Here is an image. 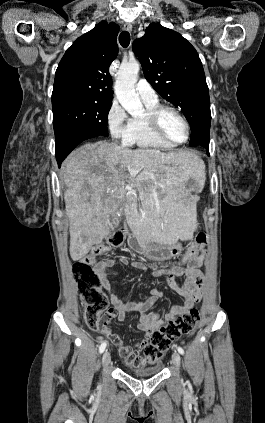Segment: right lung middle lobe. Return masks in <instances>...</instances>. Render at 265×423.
<instances>
[{
	"instance_id": "1",
	"label": "right lung middle lobe",
	"mask_w": 265,
	"mask_h": 423,
	"mask_svg": "<svg viewBox=\"0 0 265 423\" xmlns=\"http://www.w3.org/2000/svg\"><path fill=\"white\" fill-rule=\"evenodd\" d=\"M112 101H102L79 96L52 99L53 126L57 134L64 128L83 129L98 136H108V113ZM67 153L58 150L57 162L63 161Z\"/></svg>"
}]
</instances>
